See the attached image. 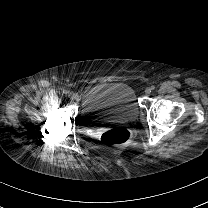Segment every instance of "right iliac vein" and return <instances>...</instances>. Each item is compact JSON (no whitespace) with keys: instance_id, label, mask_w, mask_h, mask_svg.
<instances>
[{"instance_id":"obj_1","label":"right iliac vein","mask_w":208,"mask_h":208,"mask_svg":"<svg viewBox=\"0 0 208 208\" xmlns=\"http://www.w3.org/2000/svg\"><path fill=\"white\" fill-rule=\"evenodd\" d=\"M70 99L74 100L76 98V95L74 93L69 94Z\"/></svg>"}]
</instances>
